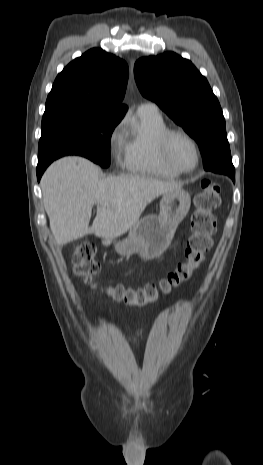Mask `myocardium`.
Listing matches in <instances>:
<instances>
[{
	"instance_id": "1",
	"label": "myocardium",
	"mask_w": 263,
	"mask_h": 465,
	"mask_svg": "<svg viewBox=\"0 0 263 465\" xmlns=\"http://www.w3.org/2000/svg\"><path fill=\"white\" fill-rule=\"evenodd\" d=\"M181 136L185 139H187L194 147L195 150V155H196V160L195 164L192 168L190 169H184L180 166H178L172 159L170 149H171V142L174 137ZM159 149H160V155L165 163L166 166H168L171 170L179 173V174H186V173H191L197 169L200 163V158H201V153H200V147L196 139L190 135L188 132L182 130V129H168L166 130L160 140H159Z\"/></svg>"
}]
</instances>
